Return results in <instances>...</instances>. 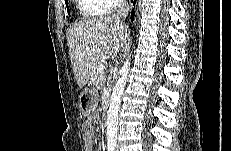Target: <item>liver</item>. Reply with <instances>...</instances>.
Instances as JSON below:
<instances>
[{
  "instance_id": "obj_1",
  "label": "liver",
  "mask_w": 231,
  "mask_h": 151,
  "mask_svg": "<svg viewBox=\"0 0 231 151\" xmlns=\"http://www.w3.org/2000/svg\"><path fill=\"white\" fill-rule=\"evenodd\" d=\"M67 42L79 88L93 75L100 57H115L126 42V28L112 17L87 18L70 27Z\"/></svg>"
}]
</instances>
